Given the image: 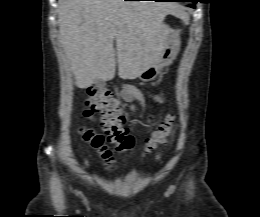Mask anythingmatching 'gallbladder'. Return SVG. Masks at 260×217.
<instances>
[{
    "label": "gallbladder",
    "mask_w": 260,
    "mask_h": 217,
    "mask_svg": "<svg viewBox=\"0 0 260 217\" xmlns=\"http://www.w3.org/2000/svg\"><path fill=\"white\" fill-rule=\"evenodd\" d=\"M94 84H95L96 87H103L104 81L96 79Z\"/></svg>",
    "instance_id": "gallbladder-1"
}]
</instances>
